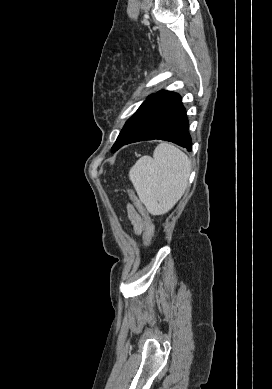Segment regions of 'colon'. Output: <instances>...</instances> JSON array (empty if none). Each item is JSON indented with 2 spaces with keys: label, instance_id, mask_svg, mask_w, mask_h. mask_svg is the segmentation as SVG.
Listing matches in <instances>:
<instances>
[{
  "label": "colon",
  "instance_id": "colon-1",
  "mask_svg": "<svg viewBox=\"0 0 272 389\" xmlns=\"http://www.w3.org/2000/svg\"><path fill=\"white\" fill-rule=\"evenodd\" d=\"M130 196L132 201L134 202L138 212L140 213L143 224H144V243L147 247L151 246L153 239H154V226L152 223V220L146 211L143 204L140 202L138 197L134 194V192H130Z\"/></svg>",
  "mask_w": 272,
  "mask_h": 389
}]
</instances>
